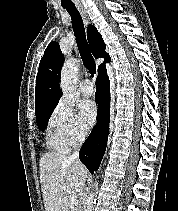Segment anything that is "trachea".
I'll return each instance as SVG.
<instances>
[{"instance_id":"obj_1","label":"trachea","mask_w":178,"mask_h":211,"mask_svg":"<svg viewBox=\"0 0 178 211\" xmlns=\"http://www.w3.org/2000/svg\"><path fill=\"white\" fill-rule=\"evenodd\" d=\"M63 8L67 10L71 17L74 35L76 37L78 50L82 58L83 64L88 70V72L91 74V77H93L94 74H96V64L86 39L83 20L75 6H63Z\"/></svg>"}]
</instances>
